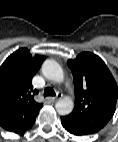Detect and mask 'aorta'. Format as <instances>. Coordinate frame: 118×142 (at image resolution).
Wrapping results in <instances>:
<instances>
[{"mask_svg": "<svg viewBox=\"0 0 118 142\" xmlns=\"http://www.w3.org/2000/svg\"><path fill=\"white\" fill-rule=\"evenodd\" d=\"M43 75L54 82L60 83L64 80L62 67L54 60H46L42 65ZM56 111L60 115H68L74 108V103L70 98H63L55 104Z\"/></svg>", "mask_w": 118, "mask_h": 142, "instance_id": "762f6f07", "label": "aorta"}]
</instances>
